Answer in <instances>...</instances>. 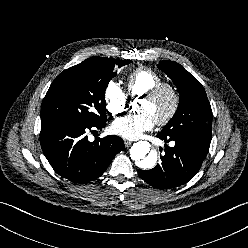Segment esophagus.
I'll use <instances>...</instances> for the list:
<instances>
[{
  "instance_id": "34e87169",
  "label": "esophagus",
  "mask_w": 248,
  "mask_h": 248,
  "mask_svg": "<svg viewBox=\"0 0 248 248\" xmlns=\"http://www.w3.org/2000/svg\"><path fill=\"white\" fill-rule=\"evenodd\" d=\"M124 144L126 147H129L132 144V142L129 140H124Z\"/></svg>"
}]
</instances>
